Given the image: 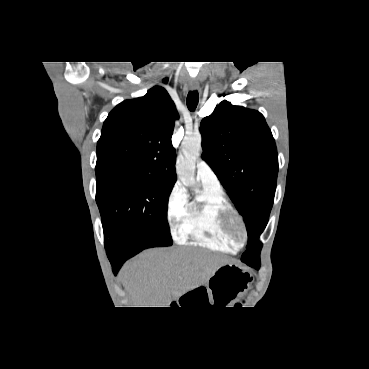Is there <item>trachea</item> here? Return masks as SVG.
<instances>
[{
	"label": "trachea",
	"mask_w": 369,
	"mask_h": 369,
	"mask_svg": "<svg viewBox=\"0 0 369 369\" xmlns=\"http://www.w3.org/2000/svg\"><path fill=\"white\" fill-rule=\"evenodd\" d=\"M199 94L198 91H190L187 96V107L190 111H194L198 105Z\"/></svg>",
	"instance_id": "trachea-1"
}]
</instances>
